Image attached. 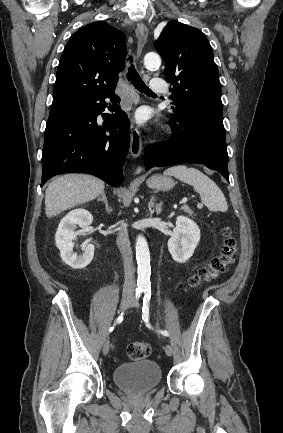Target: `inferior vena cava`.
<instances>
[{"instance_id": "inferior-vena-cava-1", "label": "inferior vena cava", "mask_w": 283, "mask_h": 433, "mask_svg": "<svg viewBox=\"0 0 283 433\" xmlns=\"http://www.w3.org/2000/svg\"><path fill=\"white\" fill-rule=\"evenodd\" d=\"M117 245L122 255L124 265L125 281L123 285V293H133L135 287L133 253L130 247L128 231L125 229V227H121L120 231H118Z\"/></svg>"}]
</instances>
